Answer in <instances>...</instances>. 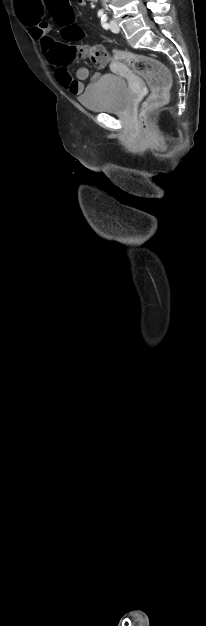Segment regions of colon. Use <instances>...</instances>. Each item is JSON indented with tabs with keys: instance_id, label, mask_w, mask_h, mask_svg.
I'll return each mask as SVG.
<instances>
[{
	"instance_id": "colon-1",
	"label": "colon",
	"mask_w": 206,
	"mask_h": 626,
	"mask_svg": "<svg viewBox=\"0 0 206 626\" xmlns=\"http://www.w3.org/2000/svg\"><path fill=\"white\" fill-rule=\"evenodd\" d=\"M55 21L63 27V35L67 39H76L83 33L74 24V12L69 0H45ZM114 56L131 66L134 72L142 77L150 87V94L140 106L139 116L143 127L148 128L146 123L147 113L155 107L166 103L171 86V76L167 67L158 59L137 55L125 50L116 49ZM77 57L88 58L96 67H104L109 54L100 45H57L54 50V59L59 65H66Z\"/></svg>"
}]
</instances>
